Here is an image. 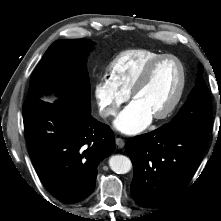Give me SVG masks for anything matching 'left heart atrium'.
Listing matches in <instances>:
<instances>
[{"mask_svg":"<svg viewBox=\"0 0 221 221\" xmlns=\"http://www.w3.org/2000/svg\"><path fill=\"white\" fill-rule=\"evenodd\" d=\"M152 120V115L137 101H132L116 118L115 127L125 134H137Z\"/></svg>","mask_w":221,"mask_h":221,"instance_id":"1","label":"left heart atrium"}]
</instances>
